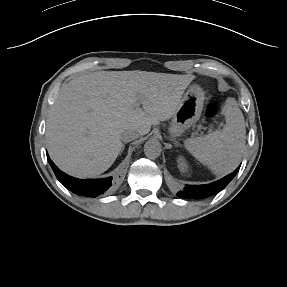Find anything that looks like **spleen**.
I'll return each mask as SVG.
<instances>
[{
	"instance_id": "obj_1",
	"label": "spleen",
	"mask_w": 287,
	"mask_h": 287,
	"mask_svg": "<svg viewBox=\"0 0 287 287\" xmlns=\"http://www.w3.org/2000/svg\"><path fill=\"white\" fill-rule=\"evenodd\" d=\"M226 123L206 137L184 140L185 149L216 176L235 169L245 147L244 118L236 103L226 101L221 108Z\"/></svg>"
}]
</instances>
